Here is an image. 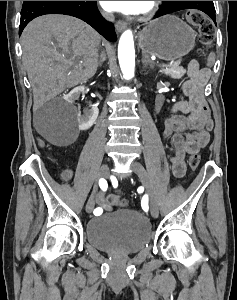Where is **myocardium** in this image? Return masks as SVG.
Returning <instances> with one entry per match:
<instances>
[{
    "label": "myocardium",
    "mask_w": 237,
    "mask_h": 300,
    "mask_svg": "<svg viewBox=\"0 0 237 300\" xmlns=\"http://www.w3.org/2000/svg\"><path fill=\"white\" fill-rule=\"evenodd\" d=\"M160 1H146L145 8L138 14V21L148 22L155 17L159 10Z\"/></svg>",
    "instance_id": "f54148a6"
}]
</instances>
